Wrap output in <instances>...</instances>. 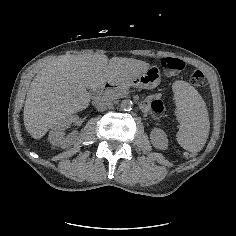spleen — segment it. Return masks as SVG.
I'll list each match as a JSON object with an SVG mask.
<instances>
[{
  "label": "spleen",
  "instance_id": "3e777b00",
  "mask_svg": "<svg viewBox=\"0 0 236 236\" xmlns=\"http://www.w3.org/2000/svg\"><path fill=\"white\" fill-rule=\"evenodd\" d=\"M176 114L181 120L176 134L177 143L189 152L201 151L210 132L209 113L199 92L190 84L176 82Z\"/></svg>",
  "mask_w": 236,
  "mask_h": 236
}]
</instances>
